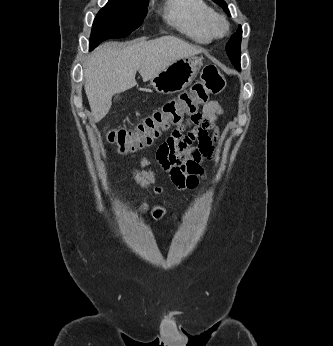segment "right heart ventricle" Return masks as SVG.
Instances as JSON below:
<instances>
[{"mask_svg": "<svg viewBox=\"0 0 333 346\" xmlns=\"http://www.w3.org/2000/svg\"><path fill=\"white\" fill-rule=\"evenodd\" d=\"M215 14L206 0H166L164 17L182 34L199 43H208L213 35L210 20Z\"/></svg>", "mask_w": 333, "mask_h": 346, "instance_id": "e07e8e85", "label": "right heart ventricle"}]
</instances>
